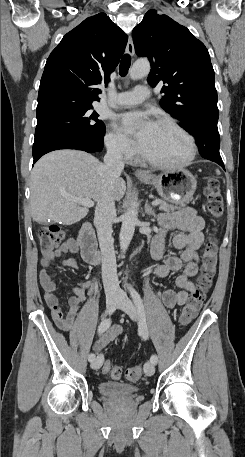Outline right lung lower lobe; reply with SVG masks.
Segmentation results:
<instances>
[{
	"label": "right lung lower lobe",
	"instance_id": "1",
	"mask_svg": "<svg viewBox=\"0 0 245 457\" xmlns=\"http://www.w3.org/2000/svg\"><path fill=\"white\" fill-rule=\"evenodd\" d=\"M59 149H77L89 153L99 152L88 140L68 132H50L38 136L33 144V164L44 154Z\"/></svg>",
	"mask_w": 245,
	"mask_h": 457
}]
</instances>
